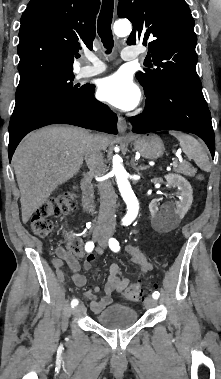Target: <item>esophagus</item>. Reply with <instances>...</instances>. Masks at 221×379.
<instances>
[{
    "label": "esophagus",
    "instance_id": "1",
    "mask_svg": "<svg viewBox=\"0 0 221 379\" xmlns=\"http://www.w3.org/2000/svg\"><path fill=\"white\" fill-rule=\"evenodd\" d=\"M118 131L121 134H125L128 128L127 122L124 117L118 116V123H117Z\"/></svg>",
    "mask_w": 221,
    "mask_h": 379
}]
</instances>
